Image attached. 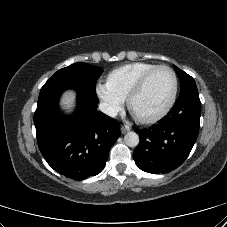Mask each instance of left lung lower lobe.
Returning a JSON list of instances; mask_svg holds the SVG:
<instances>
[{"label": "left lung lower lobe", "mask_w": 227, "mask_h": 227, "mask_svg": "<svg viewBox=\"0 0 227 227\" xmlns=\"http://www.w3.org/2000/svg\"><path fill=\"white\" fill-rule=\"evenodd\" d=\"M201 102L197 88L180 93L169 113L140 136L133 157L137 166L152 174L167 173L188 157L199 132Z\"/></svg>", "instance_id": "0a47b994"}]
</instances>
